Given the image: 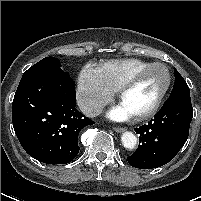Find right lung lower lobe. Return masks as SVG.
Returning a JSON list of instances; mask_svg holds the SVG:
<instances>
[{"label":"right lung lower lobe","mask_w":201,"mask_h":201,"mask_svg":"<svg viewBox=\"0 0 201 201\" xmlns=\"http://www.w3.org/2000/svg\"><path fill=\"white\" fill-rule=\"evenodd\" d=\"M70 76L24 73L13 99V127L23 149L46 164H66L79 153L81 129L94 124L75 108Z\"/></svg>","instance_id":"right-lung-lower-lobe-1"}]
</instances>
